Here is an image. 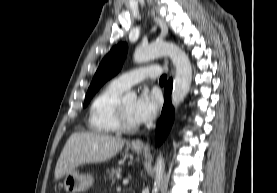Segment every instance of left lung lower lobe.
<instances>
[{
  "mask_svg": "<svg viewBox=\"0 0 277 193\" xmlns=\"http://www.w3.org/2000/svg\"><path fill=\"white\" fill-rule=\"evenodd\" d=\"M171 91L172 79L169 80L168 84L165 87L164 106L162 109L161 118L156 128V141L158 144L162 143V141L166 138L173 123L174 109L171 104Z\"/></svg>",
  "mask_w": 277,
  "mask_h": 193,
  "instance_id": "1",
  "label": "left lung lower lobe"
}]
</instances>
